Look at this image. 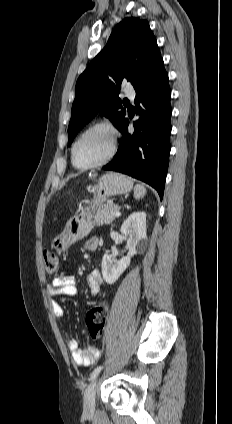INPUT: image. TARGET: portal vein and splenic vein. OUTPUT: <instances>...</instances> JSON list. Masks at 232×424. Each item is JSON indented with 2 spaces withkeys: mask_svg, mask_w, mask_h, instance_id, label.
Masks as SVG:
<instances>
[{
  "mask_svg": "<svg viewBox=\"0 0 232 424\" xmlns=\"http://www.w3.org/2000/svg\"><path fill=\"white\" fill-rule=\"evenodd\" d=\"M112 215H113L114 217H119V216L121 215V213H120V211H119V210H116L115 212H113V213H112Z\"/></svg>",
  "mask_w": 232,
  "mask_h": 424,
  "instance_id": "18ae733b",
  "label": "portal vein and splenic vein"
}]
</instances>
